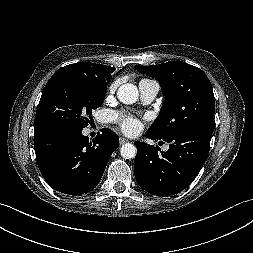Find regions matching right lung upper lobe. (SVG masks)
I'll return each mask as SVG.
<instances>
[{"label": "right lung upper lobe", "mask_w": 253, "mask_h": 253, "mask_svg": "<svg viewBox=\"0 0 253 253\" xmlns=\"http://www.w3.org/2000/svg\"><path fill=\"white\" fill-rule=\"evenodd\" d=\"M57 71L80 73L107 83L110 80L112 73L115 71V68L102 64L80 62L64 66Z\"/></svg>", "instance_id": "right-lung-upper-lobe-1"}]
</instances>
